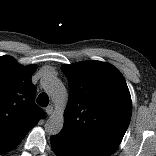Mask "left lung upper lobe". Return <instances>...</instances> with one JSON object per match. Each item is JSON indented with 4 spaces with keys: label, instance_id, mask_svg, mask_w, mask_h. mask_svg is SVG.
<instances>
[{
    "label": "left lung upper lobe",
    "instance_id": "obj_1",
    "mask_svg": "<svg viewBox=\"0 0 156 156\" xmlns=\"http://www.w3.org/2000/svg\"><path fill=\"white\" fill-rule=\"evenodd\" d=\"M69 101L60 133L113 154L130 122L131 97L122 74L109 63L63 65Z\"/></svg>",
    "mask_w": 156,
    "mask_h": 156
}]
</instances>
